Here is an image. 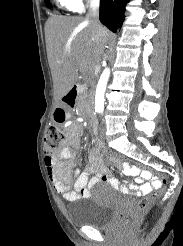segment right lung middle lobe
I'll return each mask as SVG.
<instances>
[{
    "instance_id": "dd1d6c3e",
    "label": "right lung middle lobe",
    "mask_w": 183,
    "mask_h": 246,
    "mask_svg": "<svg viewBox=\"0 0 183 246\" xmlns=\"http://www.w3.org/2000/svg\"><path fill=\"white\" fill-rule=\"evenodd\" d=\"M45 1V3H46V5L48 6V7H51V5H50V0H44Z\"/></svg>"
}]
</instances>
